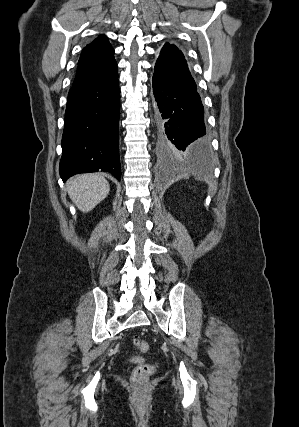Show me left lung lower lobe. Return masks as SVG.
Segmentation results:
<instances>
[{"mask_svg":"<svg viewBox=\"0 0 299 427\" xmlns=\"http://www.w3.org/2000/svg\"><path fill=\"white\" fill-rule=\"evenodd\" d=\"M154 70L159 156L165 162L188 159L195 170L209 172L212 162L204 108L183 53L166 43Z\"/></svg>","mask_w":299,"mask_h":427,"instance_id":"obj_1","label":"left lung lower lobe"}]
</instances>
